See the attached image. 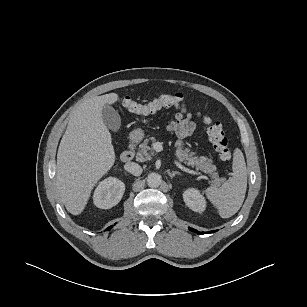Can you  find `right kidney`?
<instances>
[{
	"mask_svg": "<svg viewBox=\"0 0 307 307\" xmlns=\"http://www.w3.org/2000/svg\"><path fill=\"white\" fill-rule=\"evenodd\" d=\"M125 192V184L115 178L108 177L101 181L94 191L93 202L96 207L109 209L118 204Z\"/></svg>",
	"mask_w": 307,
	"mask_h": 307,
	"instance_id": "obj_1",
	"label": "right kidney"
}]
</instances>
